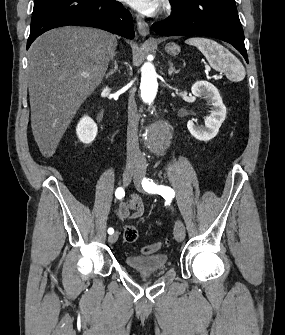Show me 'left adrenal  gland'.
Masks as SVG:
<instances>
[{
	"instance_id": "left-adrenal-gland-1",
	"label": "left adrenal gland",
	"mask_w": 285,
	"mask_h": 335,
	"mask_svg": "<svg viewBox=\"0 0 285 335\" xmlns=\"http://www.w3.org/2000/svg\"><path fill=\"white\" fill-rule=\"evenodd\" d=\"M168 64H169V70H168L169 76H172V74H179L180 70H175V68H173L171 60H169Z\"/></svg>"
}]
</instances>
